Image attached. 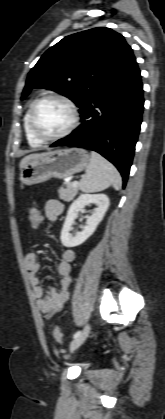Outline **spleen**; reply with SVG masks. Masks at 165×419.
Segmentation results:
<instances>
[{
  "mask_svg": "<svg viewBox=\"0 0 165 419\" xmlns=\"http://www.w3.org/2000/svg\"><path fill=\"white\" fill-rule=\"evenodd\" d=\"M83 192H100L113 186L120 190L122 180L117 169L96 152H91L90 163L79 183Z\"/></svg>",
  "mask_w": 165,
  "mask_h": 419,
  "instance_id": "obj_1",
  "label": "spleen"
}]
</instances>
